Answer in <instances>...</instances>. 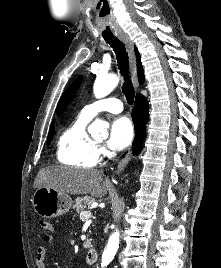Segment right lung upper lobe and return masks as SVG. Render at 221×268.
Returning <instances> with one entry per match:
<instances>
[{"label":"right lung upper lobe","instance_id":"obj_1","mask_svg":"<svg viewBox=\"0 0 221 268\" xmlns=\"http://www.w3.org/2000/svg\"><path fill=\"white\" fill-rule=\"evenodd\" d=\"M135 53H136V56H137L138 79H139V83L142 84L144 82V73H143L141 62H140V55H139V53H138L136 48H135ZM51 128H54L53 123L51 125Z\"/></svg>","mask_w":221,"mask_h":268}]
</instances>
